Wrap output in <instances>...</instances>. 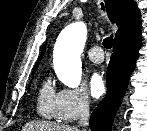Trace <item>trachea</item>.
<instances>
[{
	"mask_svg": "<svg viewBox=\"0 0 147 131\" xmlns=\"http://www.w3.org/2000/svg\"><path fill=\"white\" fill-rule=\"evenodd\" d=\"M102 9H104V4L101 3ZM112 43H113V35H110L109 37H106L103 40V46L107 49H110L112 47Z\"/></svg>",
	"mask_w": 147,
	"mask_h": 131,
	"instance_id": "obj_1",
	"label": "trachea"
}]
</instances>
